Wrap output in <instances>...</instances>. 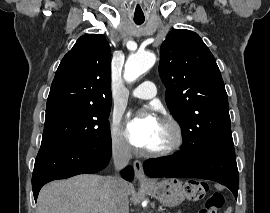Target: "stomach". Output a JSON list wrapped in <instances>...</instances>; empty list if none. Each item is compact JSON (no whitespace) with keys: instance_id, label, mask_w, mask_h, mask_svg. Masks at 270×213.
Wrapping results in <instances>:
<instances>
[{"instance_id":"1","label":"stomach","mask_w":270,"mask_h":213,"mask_svg":"<svg viewBox=\"0 0 270 213\" xmlns=\"http://www.w3.org/2000/svg\"><path fill=\"white\" fill-rule=\"evenodd\" d=\"M146 190L163 205L174 207L184 200L182 182L176 178L153 180Z\"/></svg>"}]
</instances>
